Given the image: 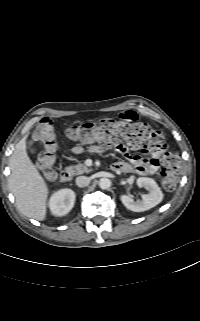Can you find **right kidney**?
I'll use <instances>...</instances> for the list:
<instances>
[{
	"mask_svg": "<svg viewBox=\"0 0 200 321\" xmlns=\"http://www.w3.org/2000/svg\"><path fill=\"white\" fill-rule=\"evenodd\" d=\"M75 199L76 195L73 190H58L50 197L49 208L53 215L64 216L73 208Z\"/></svg>",
	"mask_w": 200,
	"mask_h": 321,
	"instance_id": "ca27d5eb",
	"label": "right kidney"
}]
</instances>
